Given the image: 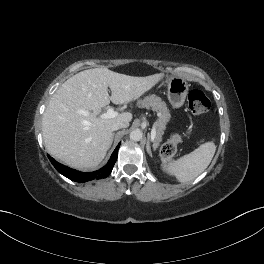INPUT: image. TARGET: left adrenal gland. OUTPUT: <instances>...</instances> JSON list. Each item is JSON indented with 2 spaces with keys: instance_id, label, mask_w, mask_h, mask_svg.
<instances>
[{
  "instance_id": "1",
  "label": "left adrenal gland",
  "mask_w": 264,
  "mask_h": 264,
  "mask_svg": "<svg viewBox=\"0 0 264 264\" xmlns=\"http://www.w3.org/2000/svg\"><path fill=\"white\" fill-rule=\"evenodd\" d=\"M150 135L148 134V140H147V144H146V150H147V153L152 156V152H151V146H150Z\"/></svg>"
}]
</instances>
